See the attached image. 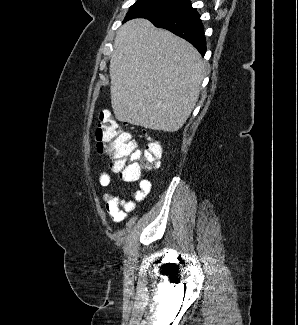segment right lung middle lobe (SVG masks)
<instances>
[{
    "label": "right lung middle lobe",
    "instance_id": "obj_1",
    "mask_svg": "<svg viewBox=\"0 0 298 325\" xmlns=\"http://www.w3.org/2000/svg\"><path fill=\"white\" fill-rule=\"evenodd\" d=\"M190 4V0H137L130 7L125 20L132 18L150 19L178 11Z\"/></svg>",
    "mask_w": 298,
    "mask_h": 325
}]
</instances>
